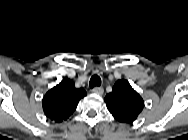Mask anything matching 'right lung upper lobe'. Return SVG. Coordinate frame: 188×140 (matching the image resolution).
Instances as JSON below:
<instances>
[{
  "label": "right lung upper lobe",
  "mask_w": 188,
  "mask_h": 140,
  "mask_svg": "<svg viewBox=\"0 0 188 140\" xmlns=\"http://www.w3.org/2000/svg\"><path fill=\"white\" fill-rule=\"evenodd\" d=\"M86 94L83 88H75L72 80L64 78L45 94L42 100L43 111L47 117L57 123L65 121Z\"/></svg>",
  "instance_id": "1"
}]
</instances>
